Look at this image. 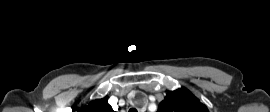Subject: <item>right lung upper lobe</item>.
Here are the masks:
<instances>
[{"label": "right lung upper lobe", "mask_w": 270, "mask_h": 112, "mask_svg": "<svg viewBox=\"0 0 270 112\" xmlns=\"http://www.w3.org/2000/svg\"><path fill=\"white\" fill-rule=\"evenodd\" d=\"M81 112H115L106 98L92 101Z\"/></svg>", "instance_id": "cb5924a9"}]
</instances>
